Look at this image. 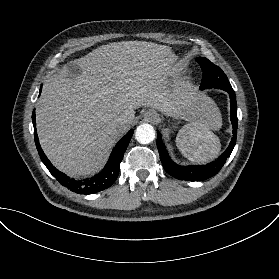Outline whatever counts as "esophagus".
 Returning a JSON list of instances; mask_svg holds the SVG:
<instances>
[{
    "mask_svg": "<svg viewBox=\"0 0 279 279\" xmlns=\"http://www.w3.org/2000/svg\"><path fill=\"white\" fill-rule=\"evenodd\" d=\"M146 112H147V113H146V116H147L149 119H151V120H155V119L157 118V116H158V114H157L155 111H149V110H147Z\"/></svg>",
    "mask_w": 279,
    "mask_h": 279,
    "instance_id": "34e87169",
    "label": "esophagus"
}]
</instances>
